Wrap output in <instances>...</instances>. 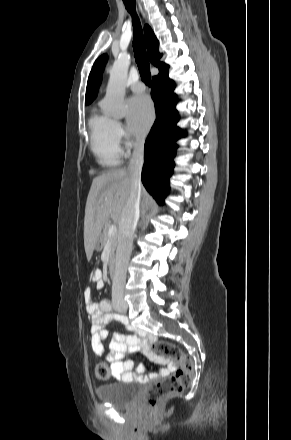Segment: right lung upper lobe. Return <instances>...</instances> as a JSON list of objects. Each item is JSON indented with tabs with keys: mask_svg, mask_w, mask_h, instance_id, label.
Masks as SVG:
<instances>
[{
	"mask_svg": "<svg viewBox=\"0 0 291 440\" xmlns=\"http://www.w3.org/2000/svg\"><path fill=\"white\" fill-rule=\"evenodd\" d=\"M144 33H145L148 55L151 63H153L155 66L158 67L159 74L167 71L169 66L163 62H160V57L162 56V54L159 53V49H158L159 42L156 36L154 35L152 29L148 25H145ZM106 60H107V55H103L95 61L92 67L86 89V96H85L86 104L91 103L96 97L98 88L102 80V73Z\"/></svg>",
	"mask_w": 291,
	"mask_h": 440,
	"instance_id": "obj_1",
	"label": "right lung upper lobe"
}]
</instances>
